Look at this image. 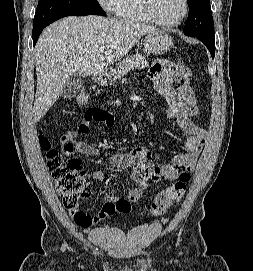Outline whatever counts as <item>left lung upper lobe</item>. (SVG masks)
<instances>
[{"label": "left lung upper lobe", "instance_id": "1", "mask_svg": "<svg viewBox=\"0 0 253 271\" xmlns=\"http://www.w3.org/2000/svg\"><path fill=\"white\" fill-rule=\"evenodd\" d=\"M190 14L187 18L184 34L214 38V23L210 0H187Z\"/></svg>", "mask_w": 253, "mask_h": 271}]
</instances>
